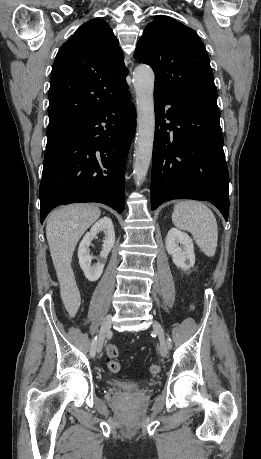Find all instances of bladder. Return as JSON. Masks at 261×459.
I'll use <instances>...</instances> for the list:
<instances>
[{"instance_id":"1","label":"bladder","mask_w":261,"mask_h":459,"mask_svg":"<svg viewBox=\"0 0 261 459\" xmlns=\"http://www.w3.org/2000/svg\"><path fill=\"white\" fill-rule=\"evenodd\" d=\"M113 385L122 391H135L139 389L140 384L135 381H121V380H115L113 381Z\"/></svg>"}]
</instances>
